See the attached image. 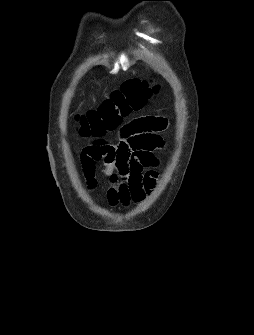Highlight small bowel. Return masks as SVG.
I'll return each mask as SVG.
<instances>
[{
	"label": "small bowel",
	"mask_w": 254,
	"mask_h": 335,
	"mask_svg": "<svg viewBox=\"0 0 254 335\" xmlns=\"http://www.w3.org/2000/svg\"><path fill=\"white\" fill-rule=\"evenodd\" d=\"M167 119L154 117L131 120L117 129V145L96 144L82 148L80 162L89 189L105 183V196L112 206L138 204L156 184L159 164L156 151L166 146L160 131ZM128 135V136H127ZM103 163L100 178L97 162Z\"/></svg>",
	"instance_id": "obj_1"
}]
</instances>
